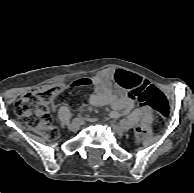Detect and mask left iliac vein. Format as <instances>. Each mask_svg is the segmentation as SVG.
Listing matches in <instances>:
<instances>
[{"instance_id": "4c4485c4", "label": "left iliac vein", "mask_w": 194, "mask_h": 193, "mask_svg": "<svg viewBox=\"0 0 194 193\" xmlns=\"http://www.w3.org/2000/svg\"><path fill=\"white\" fill-rule=\"evenodd\" d=\"M112 129L114 131V133L118 134V135H122L125 132V127L120 126V125H112Z\"/></svg>"}]
</instances>
